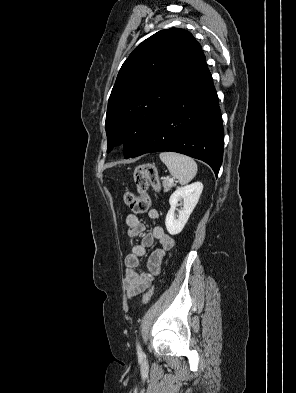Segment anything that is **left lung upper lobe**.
Masks as SVG:
<instances>
[{
    "label": "left lung upper lobe",
    "instance_id": "obj_1",
    "mask_svg": "<svg viewBox=\"0 0 296 393\" xmlns=\"http://www.w3.org/2000/svg\"><path fill=\"white\" fill-rule=\"evenodd\" d=\"M204 65L201 46L183 29L161 30L137 46L123 63L109 98L107 152L124 142L129 158Z\"/></svg>",
    "mask_w": 296,
    "mask_h": 393
}]
</instances>
